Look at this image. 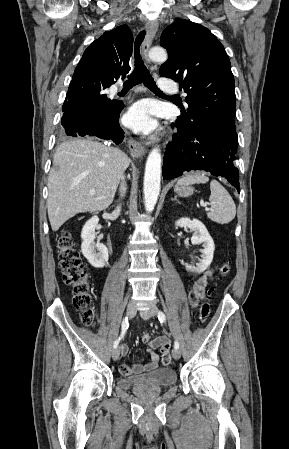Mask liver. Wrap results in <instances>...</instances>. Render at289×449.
<instances>
[{
	"label": "liver",
	"mask_w": 289,
	"mask_h": 449,
	"mask_svg": "<svg viewBox=\"0 0 289 449\" xmlns=\"http://www.w3.org/2000/svg\"><path fill=\"white\" fill-rule=\"evenodd\" d=\"M53 165L48 176L47 209L55 232L78 213L108 208L129 159L118 148L77 139L59 145Z\"/></svg>",
	"instance_id": "1"
}]
</instances>
